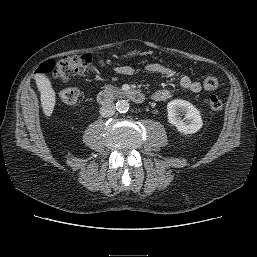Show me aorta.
<instances>
[{
    "label": "aorta",
    "instance_id": "762f6f07",
    "mask_svg": "<svg viewBox=\"0 0 257 257\" xmlns=\"http://www.w3.org/2000/svg\"><path fill=\"white\" fill-rule=\"evenodd\" d=\"M116 109L120 113H125L129 110V103L127 100H118L116 103Z\"/></svg>",
    "mask_w": 257,
    "mask_h": 257
}]
</instances>
